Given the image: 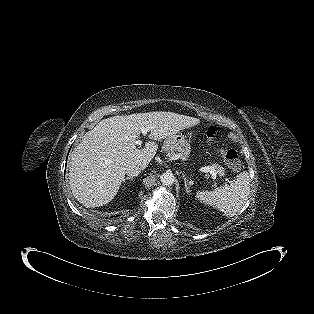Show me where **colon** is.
Segmentation results:
<instances>
[{
	"label": "colon",
	"instance_id": "obj_1",
	"mask_svg": "<svg viewBox=\"0 0 314 314\" xmlns=\"http://www.w3.org/2000/svg\"><path fill=\"white\" fill-rule=\"evenodd\" d=\"M207 135L209 138L214 139L218 135V129L216 126H209L207 129ZM220 154L225 163L233 170H238L241 167V162L238 153L234 149H220Z\"/></svg>",
	"mask_w": 314,
	"mask_h": 314
}]
</instances>
